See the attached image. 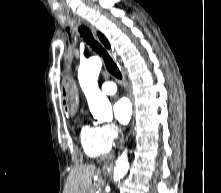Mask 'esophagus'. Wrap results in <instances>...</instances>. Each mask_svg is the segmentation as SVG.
Returning a JSON list of instances; mask_svg holds the SVG:
<instances>
[{
	"label": "esophagus",
	"mask_w": 221,
	"mask_h": 193,
	"mask_svg": "<svg viewBox=\"0 0 221 193\" xmlns=\"http://www.w3.org/2000/svg\"><path fill=\"white\" fill-rule=\"evenodd\" d=\"M68 17H69V19H74V20H77V21H79V22H83L84 24H86L87 25V27L92 31V33H93V36H94V38L98 41V42H100V40H99V38H98V36H97V33H96V29L94 28V26H92V25H90L86 20H84V19H82V18H80L79 16H77V15H72V14H69V15H67ZM108 53L113 57V53H111L109 50H108ZM131 104H135V101H133V98L131 97ZM132 108H134V110H133V115H134V113H135V105H132ZM132 127L135 125L134 124V120H133V122L130 124ZM130 131H133V128H130Z\"/></svg>",
	"instance_id": "1"
}]
</instances>
